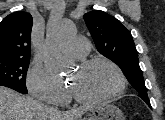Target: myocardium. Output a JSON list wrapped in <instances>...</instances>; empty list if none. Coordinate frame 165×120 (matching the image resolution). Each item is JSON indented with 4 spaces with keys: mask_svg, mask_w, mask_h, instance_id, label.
<instances>
[{
    "mask_svg": "<svg viewBox=\"0 0 165 120\" xmlns=\"http://www.w3.org/2000/svg\"><path fill=\"white\" fill-rule=\"evenodd\" d=\"M96 65H106L108 67H110L117 75L118 78V87L109 95L101 97V98H97V99H87V98H83L81 97L74 88H72L70 86V93L72 95V97L74 98V100L80 104H84V105H97V104H102V103H106L109 102L115 98H117L118 96H120L125 88H126V77L123 73V71L121 70V68L113 61L106 59V58H93V59H89V60H85L80 64V69L85 70L88 69L90 67L96 66Z\"/></svg>",
    "mask_w": 165,
    "mask_h": 120,
    "instance_id": "1",
    "label": "myocardium"
}]
</instances>
